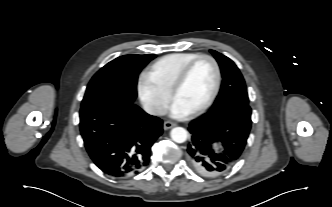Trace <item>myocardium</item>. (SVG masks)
Instances as JSON below:
<instances>
[{"instance_id":"myocardium-1","label":"myocardium","mask_w":332,"mask_h":207,"mask_svg":"<svg viewBox=\"0 0 332 207\" xmlns=\"http://www.w3.org/2000/svg\"><path fill=\"white\" fill-rule=\"evenodd\" d=\"M203 59L209 60L212 63V65L214 67V71H215V83H214L213 90H212L210 96L208 97V99L201 106H199L195 110L191 111L189 113V115H191V116H197V115H200L203 112H205L213 104V102L215 101V99L219 93L221 81H222V74H221V68H220L218 61L211 55L199 54L197 57L190 60L181 69V71L177 75L175 81L173 82L171 90H170L171 98H172V100H174L176 93L185 83L192 67L197 62H199L200 60H203Z\"/></svg>"}]
</instances>
